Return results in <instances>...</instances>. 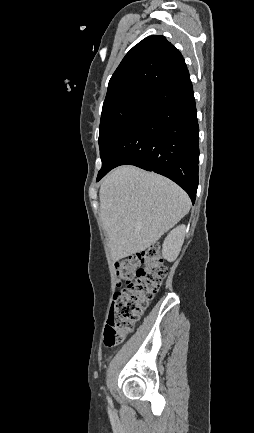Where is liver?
Wrapping results in <instances>:
<instances>
[{
  "instance_id": "1",
  "label": "liver",
  "mask_w": 254,
  "mask_h": 433,
  "mask_svg": "<svg viewBox=\"0 0 254 433\" xmlns=\"http://www.w3.org/2000/svg\"><path fill=\"white\" fill-rule=\"evenodd\" d=\"M99 198L114 261L150 247L190 210V199L179 186L134 166L108 174Z\"/></svg>"
}]
</instances>
